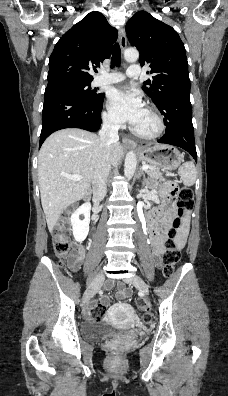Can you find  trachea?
<instances>
[{
  "label": "trachea",
  "mask_w": 228,
  "mask_h": 396,
  "mask_svg": "<svg viewBox=\"0 0 228 396\" xmlns=\"http://www.w3.org/2000/svg\"><path fill=\"white\" fill-rule=\"evenodd\" d=\"M120 62H121L120 46L118 43H116L113 48V54H112V58H111V68H113L115 66L119 67Z\"/></svg>",
  "instance_id": "obj_1"
}]
</instances>
